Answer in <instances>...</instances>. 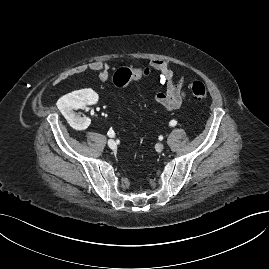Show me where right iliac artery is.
Wrapping results in <instances>:
<instances>
[{
	"mask_svg": "<svg viewBox=\"0 0 269 269\" xmlns=\"http://www.w3.org/2000/svg\"><path fill=\"white\" fill-rule=\"evenodd\" d=\"M107 134H108L109 137H114L115 136V133H114L113 130H109Z\"/></svg>",
	"mask_w": 269,
	"mask_h": 269,
	"instance_id": "1",
	"label": "right iliac artery"
}]
</instances>
